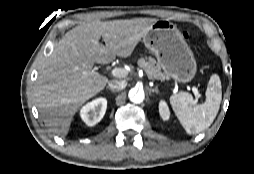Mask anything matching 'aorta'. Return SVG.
I'll use <instances>...</instances> for the list:
<instances>
[{
    "label": "aorta",
    "instance_id": "obj_1",
    "mask_svg": "<svg viewBox=\"0 0 254 174\" xmlns=\"http://www.w3.org/2000/svg\"><path fill=\"white\" fill-rule=\"evenodd\" d=\"M128 97L130 101L134 104H140L143 102L145 98L144 91L138 88H132L129 91Z\"/></svg>",
    "mask_w": 254,
    "mask_h": 174
}]
</instances>
